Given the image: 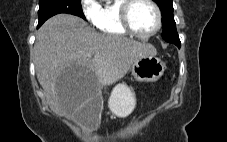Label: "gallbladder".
<instances>
[{
	"label": "gallbladder",
	"instance_id": "gallbladder-1",
	"mask_svg": "<svg viewBox=\"0 0 227 142\" xmlns=\"http://www.w3.org/2000/svg\"><path fill=\"white\" fill-rule=\"evenodd\" d=\"M103 108V100L100 97H95L87 102L76 114V118L82 122L96 124L99 122V117Z\"/></svg>",
	"mask_w": 227,
	"mask_h": 142
}]
</instances>
